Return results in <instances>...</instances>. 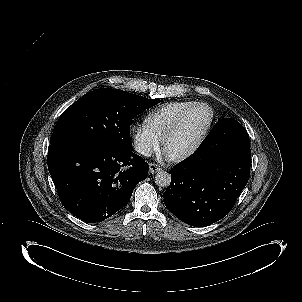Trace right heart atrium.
I'll list each match as a JSON object with an SVG mask.
<instances>
[{
  "instance_id": "1",
  "label": "right heart atrium",
  "mask_w": 302,
  "mask_h": 302,
  "mask_svg": "<svg viewBox=\"0 0 302 302\" xmlns=\"http://www.w3.org/2000/svg\"><path fill=\"white\" fill-rule=\"evenodd\" d=\"M136 143L141 152L155 150L158 147V140L153 133L147 129H138L135 132Z\"/></svg>"
}]
</instances>
